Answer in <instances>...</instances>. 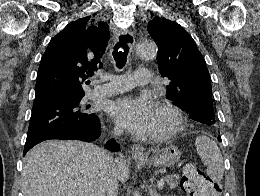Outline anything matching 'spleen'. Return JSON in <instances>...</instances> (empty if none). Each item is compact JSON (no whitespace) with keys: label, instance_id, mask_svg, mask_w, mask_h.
<instances>
[{"label":"spleen","instance_id":"1","mask_svg":"<svg viewBox=\"0 0 260 196\" xmlns=\"http://www.w3.org/2000/svg\"><path fill=\"white\" fill-rule=\"evenodd\" d=\"M195 148L198 156L207 166V176L213 182H221L224 176L222 154L215 142L207 136H198L195 140Z\"/></svg>","mask_w":260,"mask_h":196}]
</instances>
